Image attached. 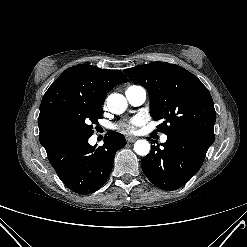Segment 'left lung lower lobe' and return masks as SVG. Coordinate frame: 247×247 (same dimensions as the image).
<instances>
[{"label":"left lung lower lobe","instance_id":"1","mask_svg":"<svg viewBox=\"0 0 247 247\" xmlns=\"http://www.w3.org/2000/svg\"><path fill=\"white\" fill-rule=\"evenodd\" d=\"M161 145L152 147L141 167L150 182L169 191L182 187L198 172L211 146L182 134L167 135Z\"/></svg>","mask_w":247,"mask_h":247}]
</instances>
